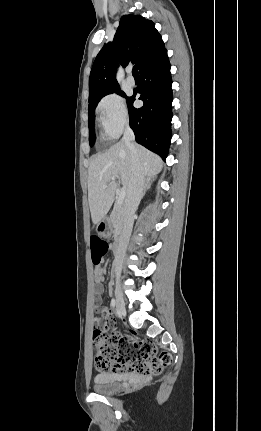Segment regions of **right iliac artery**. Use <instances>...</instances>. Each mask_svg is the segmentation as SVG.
<instances>
[{"mask_svg": "<svg viewBox=\"0 0 261 431\" xmlns=\"http://www.w3.org/2000/svg\"><path fill=\"white\" fill-rule=\"evenodd\" d=\"M115 305H116V300H115V299H112V301H111V306H112V307H115Z\"/></svg>", "mask_w": 261, "mask_h": 431, "instance_id": "1", "label": "right iliac artery"}]
</instances>
